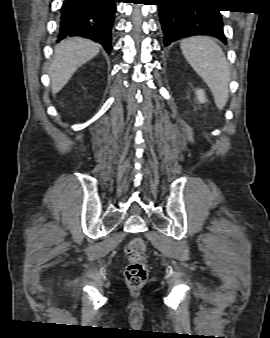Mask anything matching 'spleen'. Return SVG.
<instances>
[{"instance_id":"obj_1","label":"spleen","mask_w":270,"mask_h":338,"mask_svg":"<svg viewBox=\"0 0 270 338\" xmlns=\"http://www.w3.org/2000/svg\"><path fill=\"white\" fill-rule=\"evenodd\" d=\"M180 48L191 67L210 88L216 106L223 109L229 97L230 73L221 47L210 37L183 39Z\"/></svg>"}]
</instances>
